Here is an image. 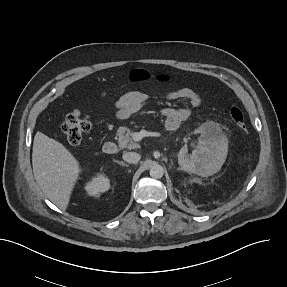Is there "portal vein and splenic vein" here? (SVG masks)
Here are the masks:
<instances>
[{
	"label": "portal vein and splenic vein",
	"instance_id": "portal-vein-and-splenic-vein-1",
	"mask_svg": "<svg viewBox=\"0 0 287 287\" xmlns=\"http://www.w3.org/2000/svg\"><path fill=\"white\" fill-rule=\"evenodd\" d=\"M148 136H151V137L152 136H158V133L142 130L140 132L134 133L132 137H133L134 141H140V140H142L143 137H148Z\"/></svg>",
	"mask_w": 287,
	"mask_h": 287
}]
</instances>
